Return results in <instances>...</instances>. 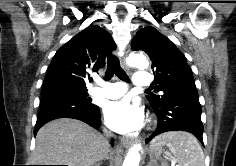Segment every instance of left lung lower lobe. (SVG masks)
Masks as SVG:
<instances>
[{"mask_svg":"<svg viewBox=\"0 0 236 166\" xmlns=\"http://www.w3.org/2000/svg\"><path fill=\"white\" fill-rule=\"evenodd\" d=\"M154 110L158 116V126L151 137L146 139V143L161 133L182 130L194 134L203 144L198 92L180 93L172 97L164 106Z\"/></svg>","mask_w":236,"mask_h":166,"instance_id":"left-lung-lower-lobe-1","label":"left lung lower lobe"}]
</instances>
